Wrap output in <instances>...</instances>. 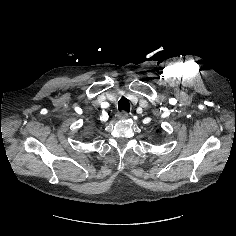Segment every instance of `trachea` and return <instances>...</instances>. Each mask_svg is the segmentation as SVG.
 Returning <instances> with one entry per match:
<instances>
[{"label":"trachea","instance_id":"1","mask_svg":"<svg viewBox=\"0 0 236 236\" xmlns=\"http://www.w3.org/2000/svg\"><path fill=\"white\" fill-rule=\"evenodd\" d=\"M118 108H119V110L129 112V111H130V103H129V100H128L127 98H125V97H122V98L119 100Z\"/></svg>","mask_w":236,"mask_h":236}]
</instances>
